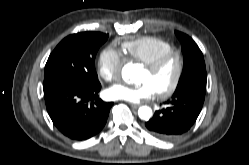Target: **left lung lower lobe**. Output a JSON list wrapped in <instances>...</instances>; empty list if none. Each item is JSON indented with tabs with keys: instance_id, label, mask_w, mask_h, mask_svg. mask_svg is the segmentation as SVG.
<instances>
[{
	"instance_id": "0a47b994",
	"label": "left lung lower lobe",
	"mask_w": 249,
	"mask_h": 165,
	"mask_svg": "<svg viewBox=\"0 0 249 165\" xmlns=\"http://www.w3.org/2000/svg\"><path fill=\"white\" fill-rule=\"evenodd\" d=\"M206 90L189 88L174 93L166 104L145 123L147 130L162 140H172L187 132L196 121L205 98Z\"/></svg>"
}]
</instances>
